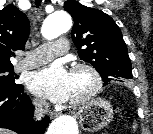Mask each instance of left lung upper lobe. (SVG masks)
<instances>
[{
	"label": "left lung upper lobe",
	"mask_w": 153,
	"mask_h": 134,
	"mask_svg": "<svg viewBox=\"0 0 153 134\" xmlns=\"http://www.w3.org/2000/svg\"><path fill=\"white\" fill-rule=\"evenodd\" d=\"M64 9L74 20L71 35L79 57L96 68L104 86L133 78L127 46L115 21L101 10L75 0H67Z\"/></svg>",
	"instance_id": "left-lung-upper-lobe-1"
}]
</instances>
